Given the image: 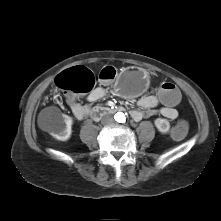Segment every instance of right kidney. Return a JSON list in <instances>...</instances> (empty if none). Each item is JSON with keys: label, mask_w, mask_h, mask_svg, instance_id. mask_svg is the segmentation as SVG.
I'll return each mask as SVG.
<instances>
[{"label": "right kidney", "mask_w": 221, "mask_h": 221, "mask_svg": "<svg viewBox=\"0 0 221 221\" xmlns=\"http://www.w3.org/2000/svg\"><path fill=\"white\" fill-rule=\"evenodd\" d=\"M72 124V117L63 114L50 126L49 133L56 140L67 141L72 134Z\"/></svg>", "instance_id": "obj_1"}]
</instances>
